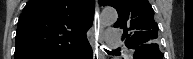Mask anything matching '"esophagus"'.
Wrapping results in <instances>:
<instances>
[{
  "instance_id": "34e87169",
  "label": "esophagus",
  "mask_w": 193,
  "mask_h": 59,
  "mask_svg": "<svg viewBox=\"0 0 193 59\" xmlns=\"http://www.w3.org/2000/svg\"><path fill=\"white\" fill-rule=\"evenodd\" d=\"M103 31V23L100 20V11L98 8V2L96 1L95 15H94V32L91 36L93 47V59H100L101 53L99 50L100 35Z\"/></svg>"
}]
</instances>
